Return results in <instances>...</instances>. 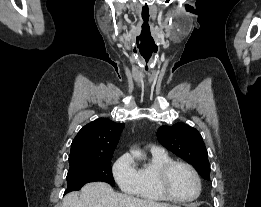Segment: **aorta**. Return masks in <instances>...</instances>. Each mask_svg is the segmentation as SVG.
Returning <instances> with one entry per match:
<instances>
[{"label":"aorta","mask_w":261,"mask_h":207,"mask_svg":"<svg viewBox=\"0 0 261 207\" xmlns=\"http://www.w3.org/2000/svg\"><path fill=\"white\" fill-rule=\"evenodd\" d=\"M132 154L134 155V156H136V157H141V153L140 152H132Z\"/></svg>","instance_id":"aorta-1"}]
</instances>
